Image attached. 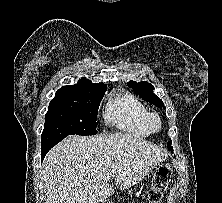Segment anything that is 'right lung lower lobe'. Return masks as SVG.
<instances>
[{"label": "right lung lower lobe", "mask_w": 222, "mask_h": 203, "mask_svg": "<svg viewBox=\"0 0 222 203\" xmlns=\"http://www.w3.org/2000/svg\"><path fill=\"white\" fill-rule=\"evenodd\" d=\"M62 139H51V140H45L42 141V147H41V160L44 159L47 152L55 146L58 142H60Z\"/></svg>", "instance_id": "98d812e1"}]
</instances>
